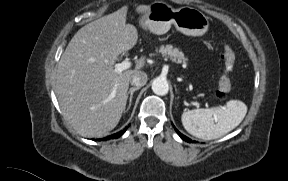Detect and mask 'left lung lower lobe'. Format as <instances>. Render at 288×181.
<instances>
[{
  "instance_id": "left-lung-lower-lobe-1",
  "label": "left lung lower lobe",
  "mask_w": 288,
  "mask_h": 181,
  "mask_svg": "<svg viewBox=\"0 0 288 181\" xmlns=\"http://www.w3.org/2000/svg\"><path fill=\"white\" fill-rule=\"evenodd\" d=\"M173 127H174L175 131L177 132V134H178L184 141H186V142H188V143H192V142H193L190 138H188V137H186L185 135L181 134V133L175 128V126H173ZM194 142H195V141H194Z\"/></svg>"
}]
</instances>
